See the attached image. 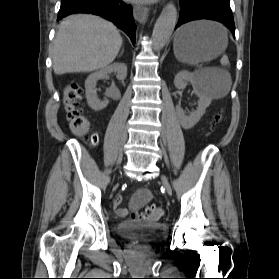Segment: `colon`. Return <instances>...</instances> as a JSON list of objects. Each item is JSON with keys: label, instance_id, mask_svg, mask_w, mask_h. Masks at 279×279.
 I'll use <instances>...</instances> for the list:
<instances>
[{"label": "colon", "instance_id": "1", "mask_svg": "<svg viewBox=\"0 0 279 279\" xmlns=\"http://www.w3.org/2000/svg\"><path fill=\"white\" fill-rule=\"evenodd\" d=\"M82 101V88L76 81L68 83L64 88L63 104L67 115L69 127L71 131L81 136L87 144L95 146L98 142V138L94 134H90V123L81 109ZM222 118L221 114H218L215 118V122H219ZM163 215V210L156 206H149L143 210L139 216H133V218L140 217L149 221H157Z\"/></svg>", "mask_w": 279, "mask_h": 279}]
</instances>
